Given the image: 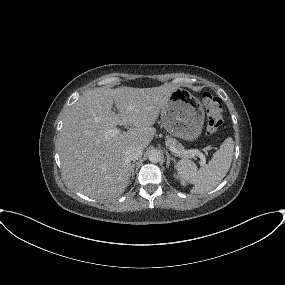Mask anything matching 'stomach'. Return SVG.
<instances>
[{"label":"stomach","mask_w":285,"mask_h":285,"mask_svg":"<svg viewBox=\"0 0 285 285\" xmlns=\"http://www.w3.org/2000/svg\"><path fill=\"white\" fill-rule=\"evenodd\" d=\"M204 110L198 98L182 88L174 90L161 110L164 128L173 136L194 141L204 124Z\"/></svg>","instance_id":"0dacf381"}]
</instances>
